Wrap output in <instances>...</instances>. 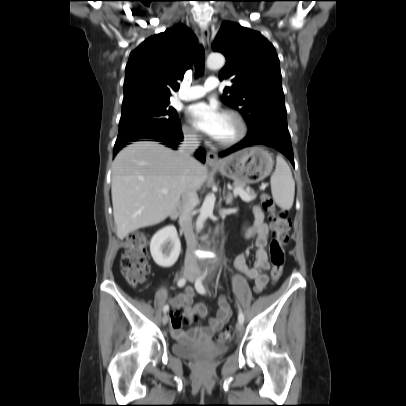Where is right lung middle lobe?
Here are the masks:
<instances>
[{"mask_svg":"<svg viewBox=\"0 0 406 406\" xmlns=\"http://www.w3.org/2000/svg\"><path fill=\"white\" fill-rule=\"evenodd\" d=\"M169 101H143L122 107L117 140L152 136L175 129L178 115Z\"/></svg>","mask_w":406,"mask_h":406,"instance_id":"obj_1","label":"right lung middle lobe"}]
</instances>
